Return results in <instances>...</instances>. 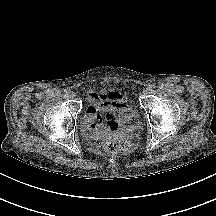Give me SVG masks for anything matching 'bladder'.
Returning a JSON list of instances; mask_svg holds the SVG:
<instances>
[{
    "label": "bladder",
    "mask_w": 216,
    "mask_h": 216,
    "mask_svg": "<svg viewBox=\"0 0 216 216\" xmlns=\"http://www.w3.org/2000/svg\"><path fill=\"white\" fill-rule=\"evenodd\" d=\"M123 126H125L127 128H134L136 126V124L131 122V119L128 117V118H124Z\"/></svg>",
    "instance_id": "obj_1"
}]
</instances>
